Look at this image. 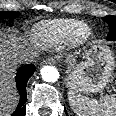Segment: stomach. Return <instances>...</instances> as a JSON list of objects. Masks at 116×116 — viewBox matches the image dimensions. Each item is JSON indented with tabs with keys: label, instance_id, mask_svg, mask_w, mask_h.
Returning a JSON list of instances; mask_svg holds the SVG:
<instances>
[{
	"label": "stomach",
	"instance_id": "0dacf381",
	"mask_svg": "<svg viewBox=\"0 0 116 116\" xmlns=\"http://www.w3.org/2000/svg\"><path fill=\"white\" fill-rule=\"evenodd\" d=\"M114 64L108 48L93 45L86 52L84 61L69 67L67 85L75 92H99L109 83Z\"/></svg>",
	"mask_w": 116,
	"mask_h": 116
}]
</instances>
